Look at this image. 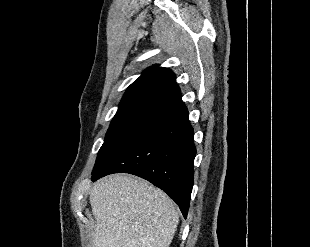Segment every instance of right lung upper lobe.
I'll return each mask as SVG.
<instances>
[{"label": "right lung upper lobe", "mask_w": 310, "mask_h": 247, "mask_svg": "<svg viewBox=\"0 0 310 247\" xmlns=\"http://www.w3.org/2000/svg\"><path fill=\"white\" fill-rule=\"evenodd\" d=\"M181 101L175 74L170 69L154 66L128 87L118 110L144 107L160 113Z\"/></svg>", "instance_id": "cb5924a9"}]
</instances>
